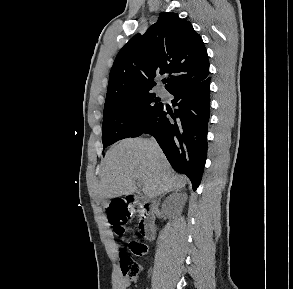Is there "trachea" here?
Wrapping results in <instances>:
<instances>
[{"instance_id":"3493384b","label":"trachea","mask_w":293,"mask_h":289,"mask_svg":"<svg viewBox=\"0 0 293 289\" xmlns=\"http://www.w3.org/2000/svg\"><path fill=\"white\" fill-rule=\"evenodd\" d=\"M167 82L166 80H163V83Z\"/></svg>"}]
</instances>
